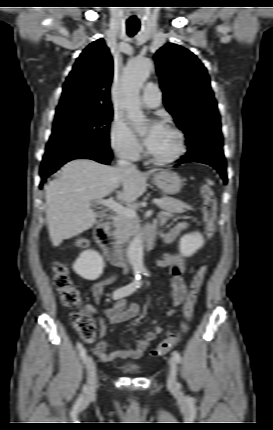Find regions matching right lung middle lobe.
Wrapping results in <instances>:
<instances>
[{"label": "right lung middle lobe", "instance_id": "dd1d6c3e", "mask_svg": "<svg viewBox=\"0 0 273 430\" xmlns=\"http://www.w3.org/2000/svg\"><path fill=\"white\" fill-rule=\"evenodd\" d=\"M112 116V109L79 106L57 109L42 163L79 151H109Z\"/></svg>", "mask_w": 273, "mask_h": 430}]
</instances>
